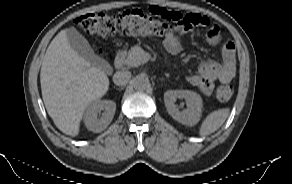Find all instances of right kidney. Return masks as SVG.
<instances>
[{
    "mask_svg": "<svg viewBox=\"0 0 292 184\" xmlns=\"http://www.w3.org/2000/svg\"><path fill=\"white\" fill-rule=\"evenodd\" d=\"M101 111H103L102 114ZM115 111V102L111 100H95L89 104L84 113V124L89 131L101 132L111 123Z\"/></svg>",
    "mask_w": 292,
    "mask_h": 184,
    "instance_id": "ca27d5eb",
    "label": "right kidney"
}]
</instances>
